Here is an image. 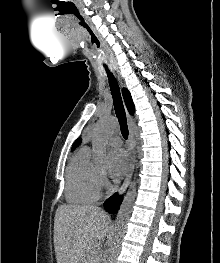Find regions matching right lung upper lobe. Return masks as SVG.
<instances>
[{
  "instance_id": "1",
  "label": "right lung upper lobe",
  "mask_w": 220,
  "mask_h": 263,
  "mask_svg": "<svg viewBox=\"0 0 220 263\" xmlns=\"http://www.w3.org/2000/svg\"><path fill=\"white\" fill-rule=\"evenodd\" d=\"M123 97H124L126 106H127L128 110H129L130 114H133V112H134V104L132 102L131 95H130V93H129V91L127 89H123ZM80 143H81V139L79 138L74 143V145L72 147V150H74L75 147L78 146Z\"/></svg>"
}]
</instances>
